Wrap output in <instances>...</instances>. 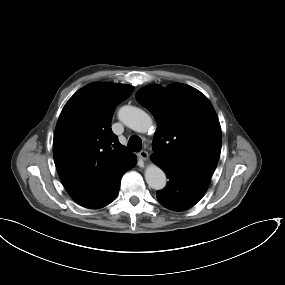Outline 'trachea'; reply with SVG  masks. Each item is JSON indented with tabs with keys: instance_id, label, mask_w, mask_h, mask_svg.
<instances>
[{
	"instance_id": "obj_1",
	"label": "trachea",
	"mask_w": 285,
	"mask_h": 285,
	"mask_svg": "<svg viewBox=\"0 0 285 285\" xmlns=\"http://www.w3.org/2000/svg\"><path fill=\"white\" fill-rule=\"evenodd\" d=\"M142 148V141L138 136H131L128 141V149L133 152H138Z\"/></svg>"
}]
</instances>
